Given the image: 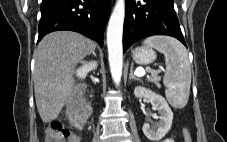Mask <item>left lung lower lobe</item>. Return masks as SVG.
<instances>
[{"label": "left lung lower lobe", "instance_id": "1", "mask_svg": "<svg viewBox=\"0 0 227 142\" xmlns=\"http://www.w3.org/2000/svg\"><path fill=\"white\" fill-rule=\"evenodd\" d=\"M152 35L172 36L186 46L173 0H126L123 51L126 52L135 42Z\"/></svg>", "mask_w": 227, "mask_h": 142}]
</instances>
